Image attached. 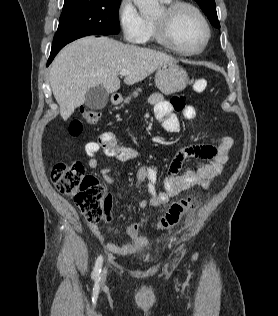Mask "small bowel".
<instances>
[{
  "instance_id": "small-bowel-1",
  "label": "small bowel",
  "mask_w": 278,
  "mask_h": 316,
  "mask_svg": "<svg viewBox=\"0 0 278 316\" xmlns=\"http://www.w3.org/2000/svg\"><path fill=\"white\" fill-rule=\"evenodd\" d=\"M150 103L154 107L156 119L170 133H178L181 129L176 115L177 112H181L187 120H193L197 115L195 107L186 105L180 97H175L168 101L161 94L154 93L150 96ZM233 143V138L225 135L220 138L217 145H192L179 150L172 157L168 166V173L164 179L165 190L163 192H158L156 189V168L149 165H141L137 169L136 178L141 183L147 181L146 190L149 198L141 200L138 207L141 209L147 206L159 208L166 204L170 198L192 187L206 188L213 179L221 174L224 165L228 161V154ZM84 149L88 157V166L92 169L98 166L96 155L100 151L107 157L114 158L119 162L131 161L139 156L137 149L119 144L116 136L111 132L101 134L97 141L86 143ZM190 158L200 159L202 163L196 168H190L182 172L184 162ZM101 176L107 184L113 182L109 168L102 169ZM113 219V201L111 196L107 195L104 201L103 221L106 224H111ZM89 228L100 243L115 254H132L148 243V239L140 234L141 223L139 222L126 226V234L129 237V241L123 245L106 242L97 224L89 223Z\"/></svg>"
}]
</instances>
